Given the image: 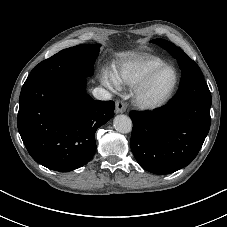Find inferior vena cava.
<instances>
[{"mask_svg": "<svg viewBox=\"0 0 227 227\" xmlns=\"http://www.w3.org/2000/svg\"><path fill=\"white\" fill-rule=\"evenodd\" d=\"M92 94L98 100H110L112 97V95L107 90L101 87H96L92 91Z\"/></svg>", "mask_w": 227, "mask_h": 227, "instance_id": "602c4592", "label": "inferior vena cava"}]
</instances>
